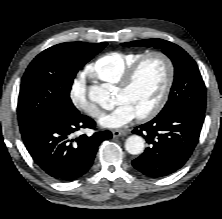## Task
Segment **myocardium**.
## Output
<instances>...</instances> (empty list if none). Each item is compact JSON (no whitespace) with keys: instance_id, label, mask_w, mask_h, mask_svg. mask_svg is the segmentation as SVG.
I'll use <instances>...</instances> for the list:
<instances>
[{"instance_id":"f54148a6","label":"myocardium","mask_w":222,"mask_h":219,"mask_svg":"<svg viewBox=\"0 0 222 219\" xmlns=\"http://www.w3.org/2000/svg\"><path fill=\"white\" fill-rule=\"evenodd\" d=\"M151 57H158L164 62L166 67V81L163 90L161 92V95L157 100V102L155 103V105L152 108H150L148 111L137 116L138 119L140 120H150L155 116H157L164 108L169 98L175 77V67L172 59L162 51L147 52L127 68V70L124 72L119 82L117 83L118 89L120 90L128 89L132 85L142 64Z\"/></svg>"}]
</instances>
